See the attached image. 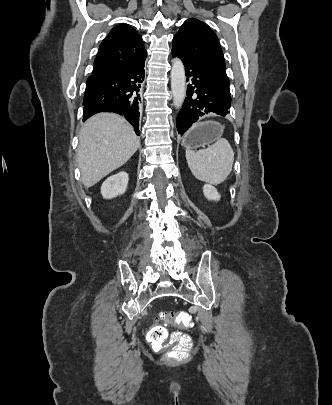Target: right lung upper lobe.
Segmentation results:
<instances>
[{
    "label": "right lung upper lobe",
    "mask_w": 332,
    "mask_h": 405,
    "mask_svg": "<svg viewBox=\"0 0 332 405\" xmlns=\"http://www.w3.org/2000/svg\"><path fill=\"white\" fill-rule=\"evenodd\" d=\"M146 56L137 31L127 24H120L100 44L93 73L125 69L143 61Z\"/></svg>",
    "instance_id": "obj_1"
}]
</instances>
